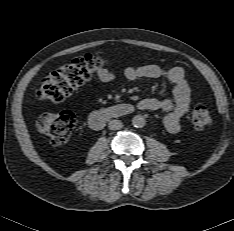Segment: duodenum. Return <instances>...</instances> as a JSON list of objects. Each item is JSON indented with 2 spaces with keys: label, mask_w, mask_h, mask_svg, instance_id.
I'll return each instance as SVG.
<instances>
[{
  "label": "duodenum",
  "mask_w": 234,
  "mask_h": 231,
  "mask_svg": "<svg viewBox=\"0 0 234 231\" xmlns=\"http://www.w3.org/2000/svg\"><path fill=\"white\" fill-rule=\"evenodd\" d=\"M134 112V106L127 103H121L112 105L107 108H103L101 110L95 111L90 116V125L94 129L102 128L106 122L111 119L124 117L132 114Z\"/></svg>",
  "instance_id": "1"
}]
</instances>
